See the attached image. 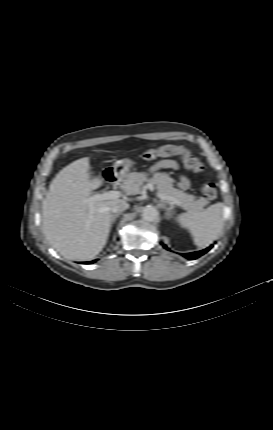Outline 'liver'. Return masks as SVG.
I'll list each match as a JSON object with an SVG mask.
<instances>
[{
    "mask_svg": "<svg viewBox=\"0 0 273 430\" xmlns=\"http://www.w3.org/2000/svg\"><path fill=\"white\" fill-rule=\"evenodd\" d=\"M89 157L64 167L53 179L42 203V228L56 251L71 260L94 258L106 244L112 214L110 207L120 199L89 204L92 190L103 180L89 174Z\"/></svg>",
    "mask_w": 273,
    "mask_h": 430,
    "instance_id": "liver-1",
    "label": "liver"
}]
</instances>
